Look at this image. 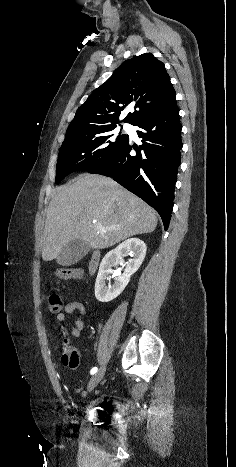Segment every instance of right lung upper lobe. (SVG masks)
<instances>
[{"mask_svg": "<svg viewBox=\"0 0 236 467\" xmlns=\"http://www.w3.org/2000/svg\"><path fill=\"white\" fill-rule=\"evenodd\" d=\"M176 98L164 64L146 53L123 62L104 84L81 105L66 135L83 133L120 123L119 116L129 104L136 111L123 122L135 125L163 109Z\"/></svg>", "mask_w": 236, "mask_h": 467, "instance_id": "1", "label": "right lung upper lobe"}]
</instances>
